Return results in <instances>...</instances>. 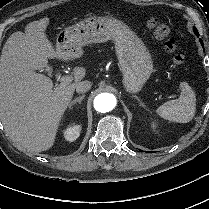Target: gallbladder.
Instances as JSON below:
<instances>
[{
    "mask_svg": "<svg viewBox=\"0 0 209 209\" xmlns=\"http://www.w3.org/2000/svg\"><path fill=\"white\" fill-rule=\"evenodd\" d=\"M48 75H50L51 74V72H52V68H50V67H46V68H44L43 69Z\"/></svg>",
    "mask_w": 209,
    "mask_h": 209,
    "instance_id": "1",
    "label": "gallbladder"
}]
</instances>
